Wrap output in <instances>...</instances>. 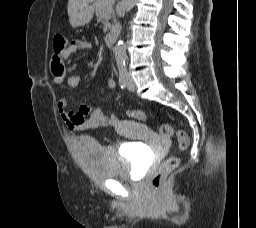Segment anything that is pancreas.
I'll return each mask as SVG.
<instances>
[{"label":"pancreas","mask_w":256,"mask_h":228,"mask_svg":"<svg viewBox=\"0 0 256 228\" xmlns=\"http://www.w3.org/2000/svg\"><path fill=\"white\" fill-rule=\"evenodd\" d=\"M114 1L107 2L106 0H95L92 7L95 11L96 16L103 22L104 24V32L111 29V24L109 20L111 18L115 21V14L113 11Z\"/></svg>","instance_id":"cf45deb5"}]
</instances>
